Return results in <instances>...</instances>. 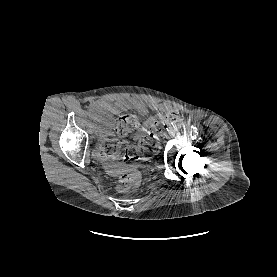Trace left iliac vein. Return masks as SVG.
I'll list each match as a JSON object with an SVG mask.
<instances>
[{
  "label": "left iliac vein",
  "mask_w": 277,
  "mask_h": 277,
  "mask_svg": "<svg viewBox=\"0 0 277 277\" xmlns=\"http://www.w3.org/2000/svg\"><path fill=\"white\" fill-rule=\"evenodd\" d=\"M168 132L170 136H174L177 132V129L173 126L169 128Z\"/></svg>",
  "instance_id": "4c4485c4"
}]
</instances>
